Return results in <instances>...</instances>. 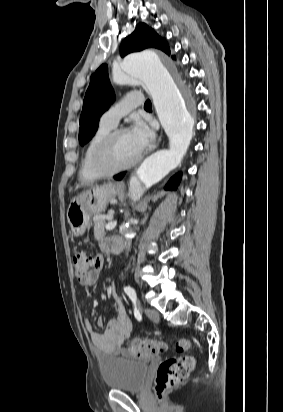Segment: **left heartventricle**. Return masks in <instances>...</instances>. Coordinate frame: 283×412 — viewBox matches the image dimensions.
Listing matches in <instances>:
<instances>
[{
    "instance_id": "1",
    "label": "left heart ventricle",
    "mask_w": 283,
    "mask_h": 412,
    "mask_svg": "<svg viewBox=\"0 0 283 412\" xmlns=\"http://www.w3.org/2000/svg\"><path fill=\"white\" fill-rule=\"evenodd\" d=\"M139 151L137 150L136 146L134 145L129 132H124L120 134L112 147L110 153V162L115 166L124 165L132 161L137 155Z\"/></svg>"
}]
</instances>
